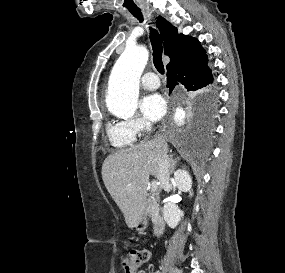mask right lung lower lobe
<instances>
[{
	"mask_svg": "<svg viewBox=\"0 0 285 273\" xmlns=\"http://www.w3.org/2000/svg\"><path fill=\"white\" fill-rule=\"evenodd\" d=\"M200 54L190 60L167 69V87L172 89L181 83L188 91L204 90L213 82L211 69L208 67L207 55ZM199 126H203L202 119Z\"/></svg>",
	"mask_w": 285,
	"mask_h": 273,
	"instance_id": "right-lung-lower-lobe-1",
	"label": "right lung lower lobe"
}]
</instances>
